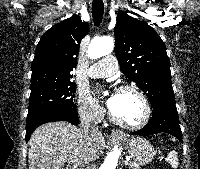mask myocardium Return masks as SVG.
<instances>
[{
  "instance_id": "myocardium-1",
  "label": "myocardium",
  "mask_w": 200,
  "mask_h": 169,
  "mask_svg": "<svg viewBox=\"0 0 200 169\" xmlns=\"http://www.w3.org/2000/svg\"><path fill=\"white\" fill-rule=\"evenodd\" d=\"M118 91H131V92L136 93L143 102L145 114H144L143 119L139 123L129 124V123H125V122L119 120L114 115V113L111 111V109H109L110 120L114 124H116L122 128L129 129V130H139V129L145 127L148 124V122L150 121L151 116H152L151 104H150L149 99L147 98L146 94L140 88H138L137 86H134V85H122L118 88Z\"/></svg>"
}]
</instances>
